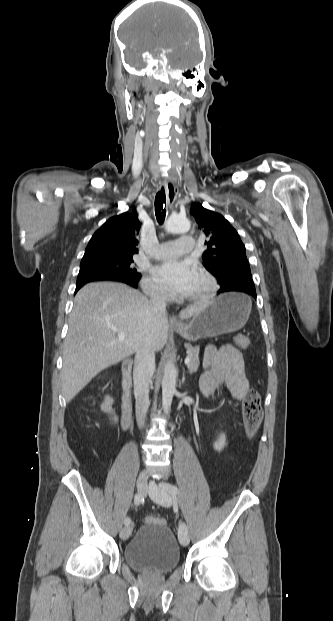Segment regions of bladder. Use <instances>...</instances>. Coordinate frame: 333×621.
I'll list each match as a JSON object with an SVG mask.
<instances>
[{"mask_svg": "<svg viewBox=\"0 0 333 621\" xmlns=\"http://www.w3.org/2000/svg\"><path fill=\"white\" fill-rule=\"evenodd\" d=\"M124 561L146 574L168 573L180 561L178 543L166 525L146 523L124 546Z\"/></svg>", "mask_w": 333, "mask_h": 621, "instance_id": "31cf9c89", "label": "bladder"}]
</instances>
